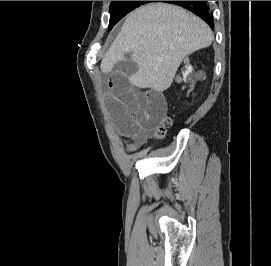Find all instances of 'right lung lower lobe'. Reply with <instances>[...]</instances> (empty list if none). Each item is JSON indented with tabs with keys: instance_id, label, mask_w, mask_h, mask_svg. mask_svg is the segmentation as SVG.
<instances>
[{
	"instance_id": "right-lung-lower-lobe-1",
	"label": "right lung lower lobe",
	"mask_w": 271,
	"mask_h": 266,
	"mask_svg": "<svg viewBox=\"0 0 271 266\" xmlns=\"http://www.w3.org/2000/svg\"><path fill=\"white\" fill-rule=\"evenodd\" d=\"M160 2L182 6L188 9L189 11L193 12L200 18H202L212 29L214 28L213 18L209 11L208 5L206 4V1H160Z\"/></svg>"
}]
</instances>
